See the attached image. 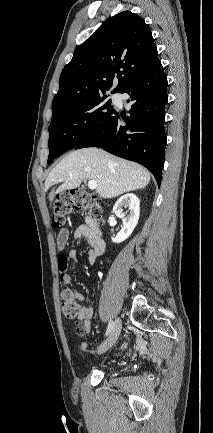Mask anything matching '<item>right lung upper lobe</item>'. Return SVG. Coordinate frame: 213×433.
<instances>
[{
    "label": "right lung upper lobe",
    "mask_w": 213,
    "mask_h": 433,
    "mask_svg": "<svg viewBox=\"0 0 213 433\" xmlns=\"http://www.w3.org/2000/svg\"><path fill=\"white\" fill-rule=\"evenodd\" d=\"M148 25L131 11L107 20L74 52L60 75L52 116L61 109L104 94L118 79L112 93L121 92L157 59Z\"/></svg>",
    "instance_id": "right-lung-upper-lobe-1"
}]
</instances>
